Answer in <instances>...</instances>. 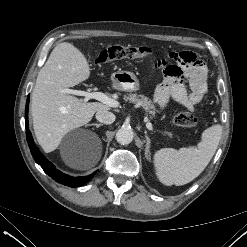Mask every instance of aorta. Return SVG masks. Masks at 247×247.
Returning <instances> with one entry per match:
<instances>
[{
    "instance_id": "obj_1",
    "label": "aorta",
    "mask_w": 247,
    "mask_h": 247,
    "mask_svg": "<svg viewBox=\"0 0 247 247\" xmlns=\"http://www.w3.org/2000/svg\"><path fill=\"white\" fill-rule=\"evenodd\" d=\"M133 137H134V132L129 127H122L116 133V141L122 145H127L131 143Z\"/></svg>"
}]
</instances>
